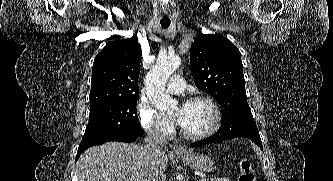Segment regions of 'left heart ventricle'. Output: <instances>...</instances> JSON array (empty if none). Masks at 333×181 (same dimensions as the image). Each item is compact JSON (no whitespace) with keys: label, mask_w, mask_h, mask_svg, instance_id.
Here are the masks:
<instances>
[{"label":"left heart ventricle","mask_w":333,"mask_h":181,"mask_svg":"<svg viewBox=\"0 0 333 181\" xmlns=\"http://www.w3.org/2000/svg\"><path fill=\"white\" fill-rule=\"evenodd\" d=\"M179 108L174 110L177 113ZM212 120L209 106L205 102L185 105V122L182 128L189 133H199L207 129Z\"/></svg>","instance_id":"1"}]
</instances>
